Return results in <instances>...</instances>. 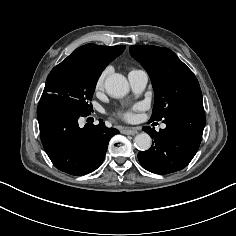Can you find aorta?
Wrapping results in <instances>:
<instances>
[{"mask_svg": "<svg viewBox=\"0 0 236 236\" xmlns=\"http://www.w3.org/2000/svg\"><path fill=\"white\" fill-rule=\"evenodd\" d=\"M105 89L114 98H121L129 92L127 79L119 73L109 75L105 80ZM135 147L140 151H146L151 147L152 139L149 134L143 132L135 136Z\"/></svg>", "mask_w": 236, "mask_h": 236, "instance_id": "aorta-1", "label": "aorta"}]
</instances>
